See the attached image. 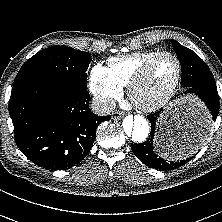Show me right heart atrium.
Instances as JSON below:
<instances>
[{"label": "right heart atrium", "instance_id": "obj_1", "mask_svg": "<svg viewBox=\"0 0 222 222\" xmlns=\"http://www.w3.org/2000/svg\"><path fill=\"white\" fill-rule=\"evenodd\" d=\"M90 91L105 110L110 109L114 100L123 93V89L112 81L107 69L101 65L94 66L91 71Z\"/></svg>", "mask_w": 222, "mask_h": 222}]
</instances>
